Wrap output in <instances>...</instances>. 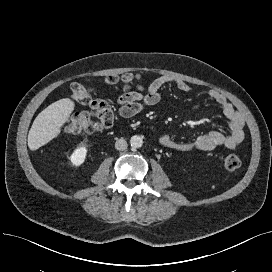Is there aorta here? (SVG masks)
Segmentation results:
<instances>
[{"label":"aorta","mask_w":272,"mask_h":272,"mask_svg":"<svg viewBox=\"0 0 272 272\" xmlns=\"http://www.w3.org/2000/svg\"><path fill=\"white\" fill-rule=\"evenodd\" d=\"M130 145L132 148H140L143 145V138L138 135H134L130 139Z\"/></svg>","instance_id":"1"}]
</instances>
